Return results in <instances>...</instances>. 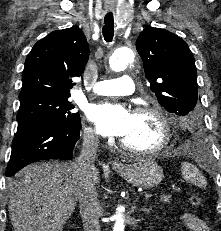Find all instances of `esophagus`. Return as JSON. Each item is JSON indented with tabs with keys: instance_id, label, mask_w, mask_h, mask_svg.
<instances>
[{
	"instance_id": "1",
	"label": "esophagus",
	"mask_w": 221,
	"mask_h": 231,
	"mask_svg": "<svg viewBox=\"0 0 221 231\" xmlns=\"http://www.w3.org/2000/svg\"><path fill=\"white\" fill-rule=\"evenodd\" d=\"M111 163H112L113 166H119L120 165V163L117 162L116 160H113Z\"/></svg>"
}]
</instances>
